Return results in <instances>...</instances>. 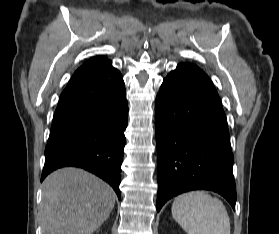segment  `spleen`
<instances>
[{
    "label": "spleen",
    "mask_w": 279,
    "mask_h": 234,
    "mask_svg": "<svg viewBox=\"0 0 279 234\" xmlns=\"http://www.w3.org/2000/svg\"><path fill=\"white\" fill-rule=\"evenodd\" d=\"M171 211L187 234H230L224 204L205 191H192L176 197Z\"/></svg>",
    "instance_id": "3e777b00"
}]
</instances>
